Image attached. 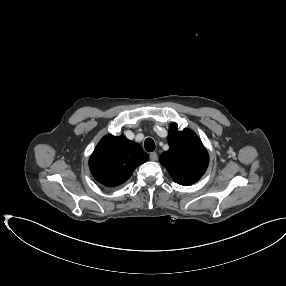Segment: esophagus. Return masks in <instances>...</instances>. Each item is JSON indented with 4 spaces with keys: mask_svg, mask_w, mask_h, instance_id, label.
Instances as JSON below:
<instances>
[{
    "mask_svg": "<svg viewBox=\"0 0 286 286\" xmlns=\"http://www.w3.org/2000/svg\"><path fill=\"white\" fill-rule=\"evenodd\" d=\"M149 157L152 161H156L158 159V155L156 152L150 153Z\"/></svg>",
    "mask_w": 286,
    "mask_h": 286,
    "instance_id": "obj_1",
    "label": "esophagus"
}]
</instances>
